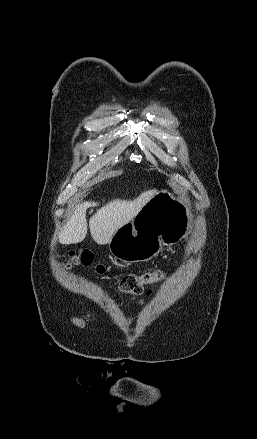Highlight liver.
<instances>
[{
    "instance_id": "1",
    "label": "liver",
    "mask_w": 257,
    "mask_h": 439,
    "mask_svg": "<svg viewBox=\"0 0 257 439\" xmlns=\"http://www.w3.org/2000/svg\"><path fill=\"white\" fill-rule=\"evenodd\" d=\"M156 192V189L144 191L132 201L115 199L98 209L89 220L93 240L98 244L109 243L113 234L124 224L130 222ZM96 205H98L97 202L85 201L75 208L59 236L60 243L76 244L85 239L88 226L86 211L89 207Z\"/></svg>"
}]
</instances>
